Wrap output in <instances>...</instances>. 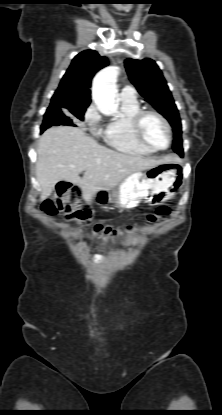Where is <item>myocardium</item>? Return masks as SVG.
<instances>
[{"label":"myocardium","mask_w":222,"mask_h":415,"mask_svg":"<svg viewBox=\"0 0 222 415\" xmlns=\"http://www.w3.org/2000/svg\"><path fill=\"white\" fill-rule=\"evenodd\" d=\"M148 115H153L155 117H157L158 119H160L162 121V123L164 124L167 133H168V142L167 145L164 147H157L155 145H153L151 142H149L143 133V121L145 119L146 116ZM132 126H133V131L134 134L136 136V138L138 139V141L143 144L144 146L154 150V151H162L167 149L171 143H172V128L171 125L168 121V119L159 111L155 110V109H140L135 116L133 117V121H132Z\"/></svg>","instance_id":"obj_1"}]
</instances>
